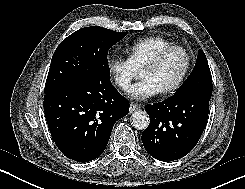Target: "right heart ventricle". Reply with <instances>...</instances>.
Masks as SVG:
<instances>
[{
  "label": "right heart ventricle",
  "instance_id": "1",
  "mask_svg": "<svg viewBox=\"0 0 245 189\" xmlns=\"http://www.w3.org/2000/svg\"><path fill=\"white\" fill-rule=\"evenodd\" d=\"M173 45L163 36H150L142 38L130 44L126 49V55L132 66L138 71L151 60L160 50Z\"/></svg>",
  "mask_w": 245,
  "mask_h": 189
}]
</instances>
